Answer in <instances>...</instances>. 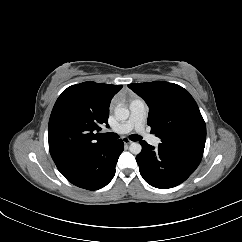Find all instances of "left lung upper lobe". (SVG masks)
<instances>
[{
	"instance_id": "left-lung-upper-lobe-1",
	"label": "left lung upper lobe",
	"mask_w": 242,
	"mask_h": 242,
	"mask_svg": "<svg viewBox=\"0 0 242 242\" xmlns=\"http://www.w3.org/2000/svg\"><path fill=\"white\" fill-rule=\"evenodd\" d=\"M149 106L148 125L160 147L203 156L206 125L197 103L183 87L165 81L129 84Z\"/></svg>"
}]
</instances>
